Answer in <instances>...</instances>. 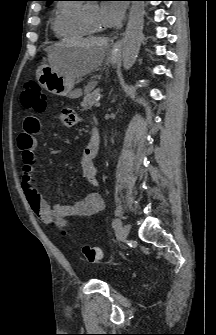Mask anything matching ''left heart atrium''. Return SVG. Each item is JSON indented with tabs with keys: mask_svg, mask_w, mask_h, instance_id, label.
Masks as SVG:
<instances>
[{
	"mask_svg": "<svg viewBox=\"0 0 216 335\" xmlns=\"http://www.w3.org/2000/svg\"><path fill=\"white\" fill-rule=\"evenodd\" d=\"M124 14L125 6L116 1H104L99 7L100 21L105 29L118 27Z\"/></svg>",
	"mask_w": 216,
	"mask_h": 335,
	"instance_id": "left-heart-atrium-1",
	"label": "left heart atrium"
}]
</instances>
